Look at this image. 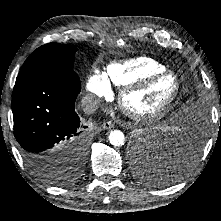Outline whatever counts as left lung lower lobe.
Here are the masks:
<instances>
[{
    "mask_svg": "<svg viewBox=\"0 0 221 221\" xmlns=\"http://www.w3.org/2000/svg\"><path fill=\"white\" fill-rule=\"evenodd\" d=\"M185 116V115H184ZM182 133L174 135L164 145L151 138L149 146L134 142L132 156L139 166V177L155 187L168 186L181 179L194 165L201 145L203 123L180 122Z\"/></svg>",
    "mask_w": 221,
    "mask_h": 221,
    "instance_id": "0a47b994",
    "label": "left lung lower lobe"
}]
</instances>
